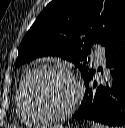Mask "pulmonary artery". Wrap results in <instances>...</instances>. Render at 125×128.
Segmentation results:
<instances>
[{
	"mask_svg": "<svg viewBox=\"0 0 125 128\" xmlns=\"http://www.w3.org/2000/svg\"><path fill=\"white\" fill-rule=\"evenodd\" d=\"M93 56L96 57V59L101 62L104 61V51L101 49H95L93 51Z\"/></svg>",
	"mask_w": 125,
	"mask_h": 128,
	"instance_id": "1",
	"label": "pulmonary artery"
}]
</instances>
